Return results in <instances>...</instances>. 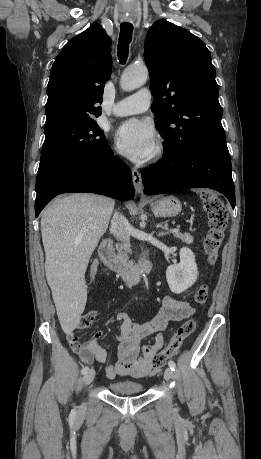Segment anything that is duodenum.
Masks as SVG:
<instances>
[{"mask_svg":"<svg viewBox=\"0 0 261 459\" xmlns=\"http://www.w3.org/2000/svg\"><path fill=\"white\" fill-rule=\"evenodd\" d=\"M99 256L107 268L120 275L125 281L135 283L141 275L152 267V261L147 255L144 261L135 266H128L121 262L113 251L112 241L105 240L99 247Z\"/></svg>","mask_w":261,"mask_h":459,"instance_id":"obj_1","label":"duodenum"}]
</instances>
